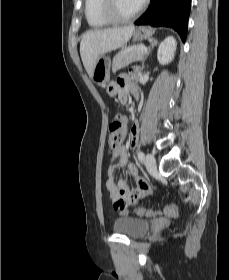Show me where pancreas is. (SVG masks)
Instances as JSON below:
<instances>
[{
	"instance_id": "cf45deb5",
	"label": "pancreas",
	"mask_w": 229,
	"mask_h": 280,
	"mask_svg": "<svg viewBox=\"0 0 229 280\" xmlns=\"http://www.w3.org/2000/svg\"><path fill=\"white\" fill-rule=\"evenodd\" d=\"M140 47L141 45H134L120 51L113 59V71L116 72L118 69L124 68L132 62L143 60L146 53L138 51Z\"/></svg>"
}]
</instances>
